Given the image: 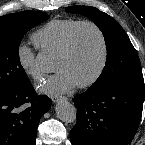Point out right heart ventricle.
I'll list each match as a JSON object with an SVG mask.
<instances>
[{
	"label": "right heart ventricle",
	"instance_id": "right-heart-ventricle-1",
	"mask_svg": "<svg viewBox=\"0 0 145 145\" xmlns=\"http://www.w3.org/2000/svg\"><path fill=\"white\" fill-rule=\"evenodd\" d=\"M80 21L75 18L50 20L32 35V40L42 51L58 54L69 33Z\"/></svg>",
	"mask_w": 145,
	"mask_h": 145
}]
</instances>
